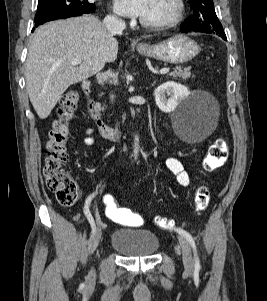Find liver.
<instances>
[{"label":"liver","mask_w":267,"mask_h":301,"mask_svg":"<svg viewBox=\"0 0 267 301\" xmlns=\"http://www.w3.org/2000/svg\"><path fill=\"white\" fill-rule=\"evenodd\" d=\"M118 41L96 17L83 15L37 29L26 59V88L40 119H46L69 86L114 62ZM82 61L72 65L74 59Z\"/></svg>","instance_id":"6515ba94"}]
</instances>
